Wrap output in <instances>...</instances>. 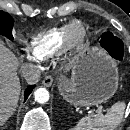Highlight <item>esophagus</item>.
<instances>
[{
	"label": "esophagus",
	"mask_w": 130,
	"mask_h": 130,
	"mask_svg": "<svg viewBox=\"0 0 130 130\" xmlns=\"http://www.w3.org/2000/svg\"><path fill=\"white\" fill-rule=\"evenodd\" d=\"M42 84H43L45 87H51L52 84H53V78H52V76L47 75V76L43 79Z\"/></svg>",
	"instance_id": "34e87169"
}]
</instances>
